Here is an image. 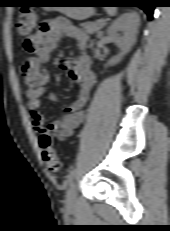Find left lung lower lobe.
<instances>
[{"mask_svg": "<svg viewBox=\"0 0 170 231\" xmlns=\"http://www.w3.org/2000/svg\"><path fill=\"white\" fill-rule=\"evenodd\" d=\"M102 3L115 4L118 7H140L149 19H152L155 8L153 0H105Z\"/></svg>", "mask_w": 170, "mask_h": 231, "instance_id": "1", "label": "left lung lower lobe"}]
</instances>
